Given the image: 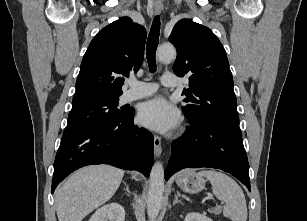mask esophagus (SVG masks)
Wrapping results in <instances>:
<instances>
[{
    "label": "esophagus",
    "mask_w": 307,
    "mask_h": 221,
    "mask_svg": "<svg viewBox=\"0 0 307 221\" xmlns=\"http://www.w3.org/2000/svg\"><path fill=\"white\" fill-rule=\"evenodd\" d=\"M154 10L157 14L161 13L163 7L161 5H157L154 7ZM162 153V146H161V138L157 135L154 136V155L155 157H160Z\"/></svg>",
    "instance_id": "1"
}]
</instances>
